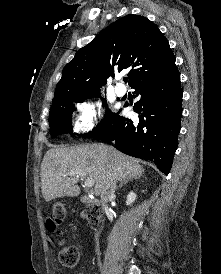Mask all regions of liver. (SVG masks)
Returning <instances> with one entry per match:
<instances>
[{
    "mask_svg": "<svg viewBox=\"0 0 221 274\" xmlns=\"http://www.w3.org/2000/svg\"><path fill=\"white\" fill-rule=\"evenodd\" d=\"M76 170H81L93 178L96 195L101 194L111 177L115 181H122L126 178L141 177L144 173L137 160L112 146L90 144L53 148L46 152L41 163V190L45 201L78 196L79 175H68Z\"/></svg>",
    "mask_w": 221,
    "mask_h": 274,
    "instance_id": "liver-1",
    "label": "liver"
}]
</instances>
